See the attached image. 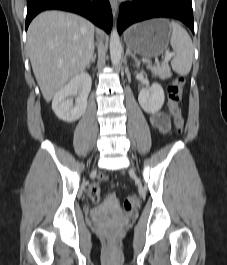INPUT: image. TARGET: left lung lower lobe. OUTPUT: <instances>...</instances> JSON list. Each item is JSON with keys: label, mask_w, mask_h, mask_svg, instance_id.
I'll return each mask as SVG.
<instances>
[{"label": "left lung lower lobe", "mask_w": 227, "mask_h": 265, "mask_svg": "<svg viewBox=\"0 0 227 265\" xmlns=\"http://www.w3.org/2000/svg\"><path fill=\"white\" fill-rule=\"evenodd\" d=\"M156 17L178 19L194 34L191 0H135L122 3L117 23L118 32L121 34L133 23Z\"/></svg>", "instance_id": "obj_1"}]
</instances>
